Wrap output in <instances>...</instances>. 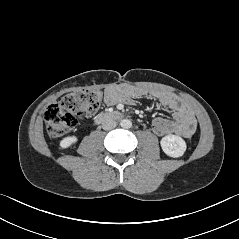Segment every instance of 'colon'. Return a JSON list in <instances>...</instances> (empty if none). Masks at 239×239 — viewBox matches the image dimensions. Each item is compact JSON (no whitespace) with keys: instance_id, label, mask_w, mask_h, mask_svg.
Returning a JSON list of instances; mask_svg holds the SVG:
<instances>
[{"instance_id":"colon-1","label":"colon","mask_w":239,"mask_h":239,"mask_svg":"<svg viewBox=\"0 0 239 239\" xmlns=\"http://www.w3.org/2000/svg\"><path fill=\"white\" fill-rule=\"evenodd\" d=\"M103 100L100 90H84L65 95L58 103L48 106L44 113L50 137H60L73 129L84 117L96 113ZM172 131V122L166 116H157L151 122L156 137H166Z\"/></svg>"}]
</instances>
